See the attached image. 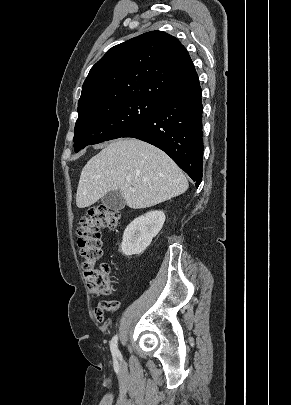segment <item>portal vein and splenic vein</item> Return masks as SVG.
<instances>
[{"mask_svg": "<svg viewBox=\"0 0 291 405\" xmlns=\"http://www.w3.org/2000/svg\"><path fill=\"white\" fill-rule=\"evenodd\" d=\"M127 181L129 182V181H130V178H127Z\"/></svg>", "mask_w": 291, "mask_h": 405, "instance_id": "1", "label": "portal vein and splenic vein"}]
</instances>
